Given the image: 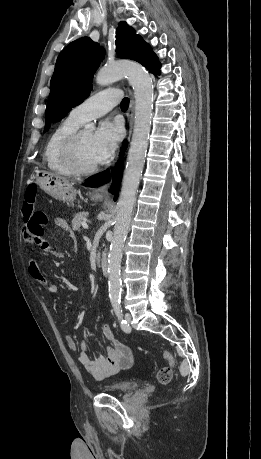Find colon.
<instances>
[{
	"mask_svg": "<svg viewBox=\"0 0 261 459\" xmlns=\"http://www.w3.org/2000/svg\"><path fill=\"white\" fill-rule=\"evenodd\" d=\"M37 197V188L35 185H30L25 192L22 213L23 219L20 224L23 226L21 235L23 238H34L36 234H43L44 229L49 222L48 216L41 211H35V201ZM162 355L171 365L174 363V358L171 353L163 351ZM159 383L166 385L172 379V369L163 367L158 371L157 375Z\"/></svg>",
	"mask_w": 261,
	"mask_h": 459,
	"instance_id": "obj_1",
	"label": "colon"
}]
</instances>
